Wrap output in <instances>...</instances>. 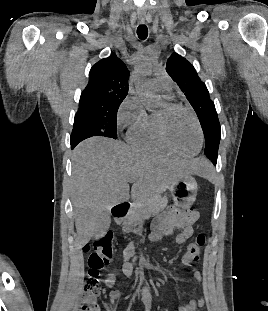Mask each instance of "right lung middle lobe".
<instances>
[{
	"mask_svg": "<svg viewBox=\"0 0 268 311\" xmlns=\"http://www.w3.org/2000/svg\"><path fill=\"white\" fill-rule=\"evenodd\" d=\"M122 101L80 97L71 140L92 136L117 138V111Z\"/></svg>",
	"mask_w": 268,
	"mask_h": 311,
	"instance_id": "right-lung-middle-lobe-1",
	"label": "right lung middle lobe"
}]
</instances>
